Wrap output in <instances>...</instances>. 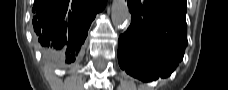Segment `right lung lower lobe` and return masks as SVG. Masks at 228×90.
Masks as SVG:
<instances>
[{"instance_id":"right-lung-lower-lobe-1","label":"right lung lower lobe","mask_w":228,"mask_h":90,"mask_svg":"<svg viewBox=\"0 0 228 90\" xmlns=\"http://www.w3.org/2000/svg\"><path fill=\"white\" fill-rule=\"evenodd\" d=\"M107 0H35L34 37L53 57L75 61L96 13Z\"/></svg>"}]
</instances>
